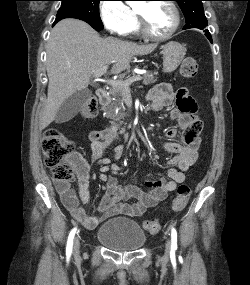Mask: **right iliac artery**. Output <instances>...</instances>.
Wrapping results in <instances>:
<instances>
[{
    "mask_svg": "<svg viewBox=\"0 0 250 285\" xmlns=\"http://www.w3.org/2000/svg\"><path fill=\"white\" fill-rule=\"evenodd\" d=\"M77 228H73L68 236V240H67V246H66V255L70 256L72 253V247H73V239L75 236Z\"/></svg>",
    "mask_w": 250,
    "mask_h": 285,
    "instance_id": "right-iliac-artery-1",
    "label": "right iliac artery"
}]
</instances>
